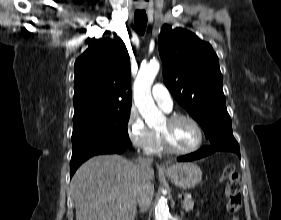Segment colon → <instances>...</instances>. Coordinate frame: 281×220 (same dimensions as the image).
<instances>
[{
    "instance_id": "colon-1",
    "label": "colon",
    "mask_w": 281,
    "mask_h": 220,
    "mask_svg": "<svg viewBox=\"0 0 281 220\" xmlns=\"http://www.w3.org/2000/svg\"><path fill=\"white\" fill-rule=\"evenodd\" d=\"M221 180L226 181L225 195L227 198V211L231 215L232 220H239L238 213L242 206L241 183L234 165L229 164L225 166Z\"/></svg>"
}]
</instances>
